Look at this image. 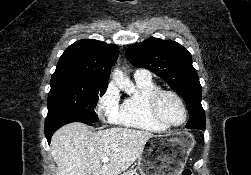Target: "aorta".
Listing matches in <instances>:
<instances>
[{
    "label": "aorta",
    "instance_id": "obj_1",
    "mask_svg": "<svg viewBox=\"0 0 251 175\" xmlns=\"http://www.w3.org/2000/svg\"><path fill=\"white\" fill-rule=\"evenodd\" d=\"M112 80H114L116 86L122 89V91H125V93H130V91L134 89L131 80L126 78L121 70H114V72H112Z\"/></svg>",
    "mask_w": 251,
    "mask_h": 175
}]
</instances>
